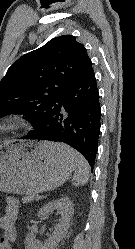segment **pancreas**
Listing matches in <instances>:
<instances>
[{"mask_svg":"<svg viewBox=\"0 0 135 249\" xmlns=\"http://www.w3.org/2000/svg\"><path fill=\"white\" fill-rule=\"evenodd\" d=\"M33 200H34V195H28V196L22 198V202H23V203H30V202H32Z\"/></svg>","mask_w":135,"mask_h":249,"instance_id":"1","label":"pancreas"}]
</instances>
